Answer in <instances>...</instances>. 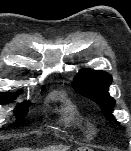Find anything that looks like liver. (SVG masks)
I'll return each instance as SVG.
<instances>
[{"label":"liver","mask_w":131,"mask_h":151,"mask_svg":"<svg viewBox=\"0 0 131 151\" xmlns=\"http://www.w3.org/2000/svg\"><path fill=\"white\" fill-rule=\"evenodd\" d=\"M69 148L66 146H57V147H50L44 149V151H67ZM18 151H28V149H19Z\"/></svg>","instance_id":"liver-1"}]
</instances>
